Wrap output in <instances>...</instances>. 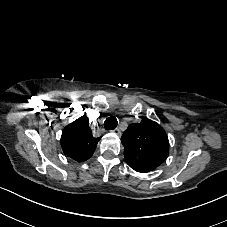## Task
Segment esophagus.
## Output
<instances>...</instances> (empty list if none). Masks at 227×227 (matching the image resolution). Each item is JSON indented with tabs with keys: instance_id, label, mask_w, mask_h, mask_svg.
<instances>
[{
	"instance_id": "esophagus-1",
	"label": "esophagus",
	"mask_w": 227,
	"mask_h": 227,
	"mask_svg": "<svg viewBox=\"0 0 227 227\" xmlns=\"http://www.w3.org/2000/svg\"><path fill=\"white\" fill-rule=\"evenodd\" d=\"M113 132H114L118 137H121V135H122V133H121V131H120L119 129H115Z\"/></svg>"
}]
</instances>
